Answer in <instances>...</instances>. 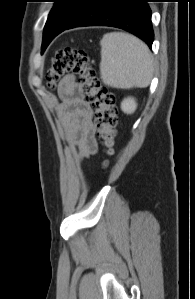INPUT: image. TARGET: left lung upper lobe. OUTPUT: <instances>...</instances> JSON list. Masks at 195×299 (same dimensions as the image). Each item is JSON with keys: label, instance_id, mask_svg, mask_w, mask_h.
Listing matches in <instances>:
<instances>
[{"label": "left lung upper lobe", "instance_id": "left-lung-upper-lobe-1", "mask_svg": "<svg viewBox=\"0 0 195 299\" xmlns=\"http://www.w3.org/2000/svg\"><path fill=\"white\" fill-rule=\"evenodd\" d=\"M55 2L44 27L42 50L49 44L50 34L68 26L82 11L88 0H53Z\"/></svg>", "mask_w": 195, "mask_h": 299}]
</instances>
